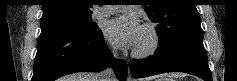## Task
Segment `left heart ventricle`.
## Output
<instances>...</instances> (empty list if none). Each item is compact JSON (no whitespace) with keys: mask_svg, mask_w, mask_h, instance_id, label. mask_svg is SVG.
<instances>
[{"mask_svg":"<svg viewBox=\"0 0 237 81\" xmlns=\"http://www.w3.org/2000/svg\"><path fill=\"white\" fill-rule=\"evenodd\" d=\"M149 42H150L149 34L144 29H142L140 39H139L135 49L136 50H143L149 45Z\"/></svg>","mask_w":237,"mask_h":81,"instance_id":"b2bd125f","label":"left heart ventricle"}]
</instances>
